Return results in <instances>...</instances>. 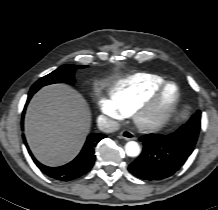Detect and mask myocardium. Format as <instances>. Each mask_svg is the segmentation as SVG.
Instances as JSON below:
<instances>
[{
    "mask_svg": "<svg viewBox=\"0 0 218 210\" xmlns=\"http://www.w3.org/2000/svg\"><path fill=\"white\" fill-rule=\"evenodd\" d=\"M173 85L177 93L174 101L160 118H150L149 114L156 106L164 91ZM182 99V91L178 83L166 81L161 84L144 102L138 105L132 112L133 120L137 128L143 132H155L165 127L175 116Z\"/></svg>",
    "mask_w": 218,
    "mask_h": 210,
    "instance_id": "1",
    "label": "myocardium"
}]
</instances>
